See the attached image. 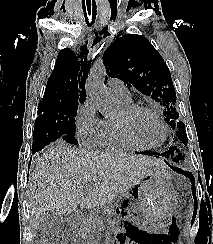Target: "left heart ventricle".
Listing matches in <instances>:
<instances>
[{"instance_id":"left-heart-ventricle-1","label":"left heart ventricle","mask_w":213,"mask_h":244,"mask_svg":"<svg viewBox=\"0 0 213 244\" xmlns=\"http://www.w3.org/2000/svg\"><path fill=\"white\" fill-rule=\"evenodd\" d=\"M124 116L121 110L116 119ZM132 133L143 143L157 145L163 139V129L157 119L147 112H139L129 118Z\"/></svg>"}]
</instances>
